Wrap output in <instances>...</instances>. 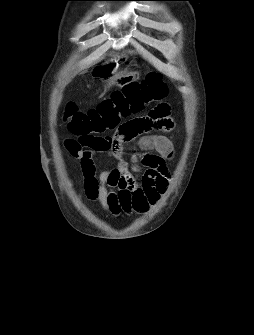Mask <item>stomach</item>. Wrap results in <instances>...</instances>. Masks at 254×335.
Listing matches in <instances>:
<instances>
[{
    "label": "stomach",
    "mask_w": 254,
    "mask_h": 335,
    "mask_svg": "<svg viewBox=\"0 0 254 335\" xmlns=\"http://www.w3.org/2000/svg\"><path fill=\"white\" fill-rule=\"evenodd\" d=\"M113 72V65H102L95 69L94 75L101 77L102 79H109L111 84H118L122 86L139 78V73L130 72L123 77H111Z\"/></svg>",
    "instance_id": "0dacf381"
}]
</instances>
